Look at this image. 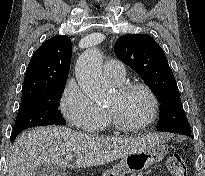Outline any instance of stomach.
I'll return each mask as SVG.
<instances>
[{"label":"stomach","instance_id":"obj_1","mask_svg":"<svg viewBox=\"0 0 205 176\" xmlns=\"http://www.w3.org/2000/svg\"><path fill=\"white\" fill-rule=\"evenodd\" d=\"M167 154L164 144L131 153L122 158L121 162L113 170L106 173L107 176H124L125 173L139 172L148 169L153 164L160 162Z\"/></svg>","mask_w":205,"mask_h":176}]
</instances>
